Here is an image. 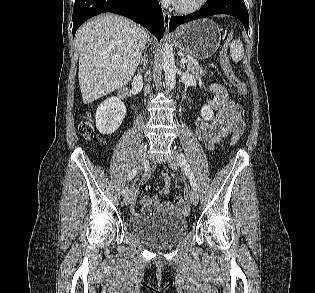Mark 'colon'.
Wrapping results in <instances>:
<instances>
[{"mask_svg": "<svg viewBox=\"0 0 315 293\" xmlns=\"http://www.w3.org/2000/svg\"><path fill=\"white\" fill-rule=\"evenodd\" d=\"M233 41L232 35L230 34L226 40L223 42V49H222V53L220 56L221 59V65L222 68L224 70V73L227 77V79L229 80V82L231 83V85L237 90V92L241 95V96H246L248 93L247 90V86L246 84L241 81L236 74L234 73L230 63L228 62L229 56H228V52H229V47H230V43ZM80 133L81 135L85 138V139H92L94 137L95 131H94V127L92 125V122L87 119L85 121H83L80 124ZM243 129L240 128L238 129L232 136V143H235L240 135L242 134ZM175 203L177 206L179 207H184L187 204L186 199L183 196H177L175 198Z\"/></svg>", "mask_w": 315, "mask_h": 293, "instance_id": "colon-1", "label": "colon"}]
</instances>
